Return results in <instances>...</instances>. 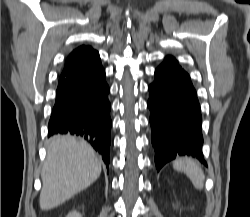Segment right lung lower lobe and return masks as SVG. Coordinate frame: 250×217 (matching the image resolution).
I'll return each instance as SVG.
<instances>
[{"instance_id": "obj_1", "label": "right lung lower lobe", "mask_w": 250, "mask_h": 217, "mask_svg": "<svg viewBox=\"0 0 250 217\" xmlns=\"http://www.w3.org/2000/svg\"><path fill=\"white\" fill-rule=\"evenodd\" d=\"M109 87L99 54L79 68L62 74L49 120L48 137L72 134L83 137L109 168L111 143Z\"/></svg>"}]
</instances>
